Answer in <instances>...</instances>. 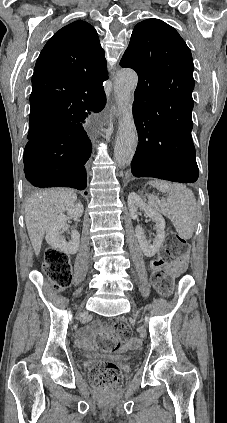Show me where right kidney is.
I'll list each match as a JSON object with an SVG mask.
<instances>
[{
    "label": "right kidney",
    "instance_id": "right-kidney-1",
    "mask_svg": "<svg viewBox=\"0 0 227 423\" xmlns=\"http://www.w3.org/2000/svg\"><path fill=\"white\" fill-rule=\"evenodd\" d=\"M68 215L71 217H81L83 213V206L82 204H75L72 208H69L67 211ZM67 217L60 213L57 215L53 221H50L47 229H46V241L49 245H52L54 249H58V251H63V253H67V255H71V253H77L79 243H80V233L77 229H71V239L66 241L63 235H61L60 229L62 227H67Z\"/></svg>",
    "mask_w": 227,
    "mask_h": 423
}]
</instances>
